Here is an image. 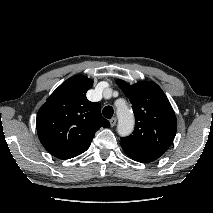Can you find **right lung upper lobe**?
Wrapping results in <instances>:
<instances>
[{
  "mask_svg": "<svg viewBox=\"0 0 213 213\" xmlns=\"http://www.w3.org/2000/svg\"><path fill=\"white\" fill-rule=\"evenodd\" d=\"M93 81L83 75L64 81L37 113L36 127L44 148L59 159L85 152L100 127L110 123L101 115L98 102H90L86 92Z\"/></svg>",
  "mask_w": 213,
  "mask_h": 213,
  "instance_id": "right-lung-upper-lobe-1",
  "label": "right lung upper lobe"
}]
</instances>
